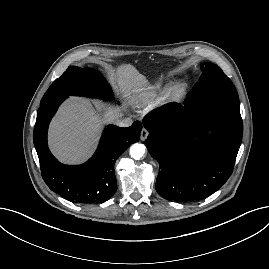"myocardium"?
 Returning <instances> with one entry per match:
<instances>
[{"instance_id": "f54148a6", "label": "myocardium", "mask_w": 269, "mask_h": 269, "mask_svg": "<svg viewBox=\"0 0 269 269\" xmlns=\"http://www.w3.org/2000/svg\"><path fill=\"white\" fill-rule=\"evenodd\" d=\"M185 90L186 84L181 80L176 81L171 84L165 91L163 101L166 103L176 101L182 97V95L185 93Z\"/></svg>"}]
</instances>
